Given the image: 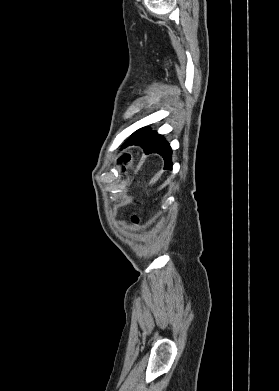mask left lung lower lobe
I'll return each mask as SVG.
<instances>
[{
	"mask_svg": "<svg viewBox=\"0 0 279 391\" xmlns=\"http://www.w3.org/2000/svg\"><path fill=\"white\" fill-rule=\"evenodd\" d=\"M132 144L141 146L146 154H160L165 161L164 169L172 168V150L168 142L157 132L148 129L138 135H132L130 137V140L125 144V146Z\"/></svg>",
	"mask_w": 279,
	"mask_h": 391,
	"instance_id": "1",
	"label": "left lung lower lobe"
}]
</instances>
